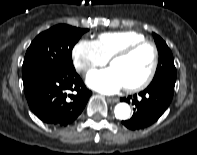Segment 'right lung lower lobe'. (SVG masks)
<instances>
[{
  "mask_svg": "<svg viewBox=\"0 0 197 155\" xmlns=\"http://www.w3.org/2000/svg\"><path fill=\"white\" fill-rule=\"evenodd\" d=\"M69 91L77 94H69ZM24 92L32 112L54 126L72 123L92 94L75 70L46 75L24 88Z\"/></svg>",
  "mask_w": 197,
  "mask_h": 155,
  "instance_id": "98d812e1",
  "label": "right lung lower lobe"
}]
</instances>
